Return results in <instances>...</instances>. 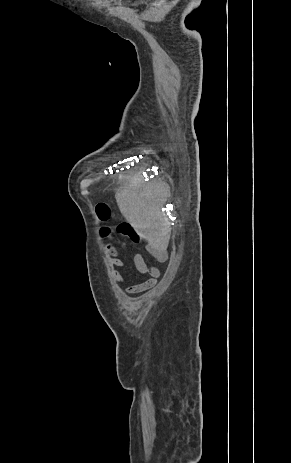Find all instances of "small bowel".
I'll use <instances>...</instances> for the list:
<instances>
[{"label": "small bowel", "mask_w": 291, "mask_h": 463, "mask_svg": "<svg viewBox=\"0 0 291 463\" xmlns=\"http://www.w3.org/2000/svg\"><path fill=\"white\" fill-rule=\"evenodd\" d=\"M106 251L110 254L109 262L113 267V278L118 282H125V278L119 271V269L124 268V262L120 258L117 248L108 244L106 245ZM150 251L158 260H162L165 257V254L159 249L152 248ZM133 263L140 274H148L149 278L142 283L127 286L125 292L128 294H136L153 288L160 277L159 269L156 267H148L144 257L137 252H133Z\"/></svg>", "instance_id": "1"}]
</instances>
